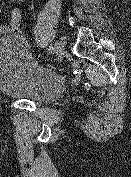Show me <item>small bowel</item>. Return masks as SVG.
I'll return each mask as SVG.
<instances>
[{
  "label": "small bowel",
  "mask_w": 131,
  "mask_h": 177,
  "mask_svg": "<svg viewBox=\"0 0 131 177\" xmlns=\"http://www.w3.org/2000/svg\"><path fill=\"white\" fill-rule=\"evenodd\" d=\"M25 0H15V2L20 5L24 2ZM11 35L10 28L8 24H0V36H8Z\"/></svg>",
  "instance_id": "obj_1"
}]
</instances>
